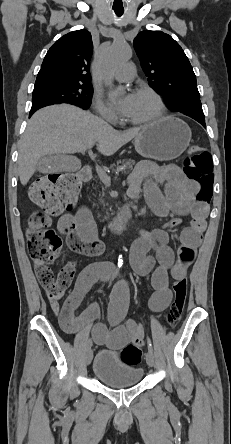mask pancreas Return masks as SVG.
I'll return each instance as SVG.
<instances>
[{
  "label": "pancreas",
  "instance_id": "cf45deb5",
  "mask_svg": "<svg viewBox=\"0 0 231 444\" xmlns=\"http://www.w3.org/2000/svg\"><path fill=\"white\" fill-rule=\"evenodd\" d=\"M135 165V161L134 160H119L116 163V167L117 168H122V169H126V170H132L133 167ZM115 166V164L111 165V168H113Z\"/></svg>",
  "mask_w": 231,
  "mask_h": 444
}]
</instances>
